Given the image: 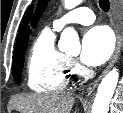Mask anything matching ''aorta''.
<instances>
[{"mask_svg": "<svg viewBox=\"0 0 123 113\" xmlns=\"http://www.w3.org/2000/svg\"><path fill=\"white\" fill-rule=\"evenodd\" d=\"M81 2L82 0H64V5L67 9H72ZM58 47L62 52H69L74 55L79 54L81 47L78 33L71 27L64 29L61 33ZM118 79L119 73L117 69H113L102 79L92 106V113H108Z\"/></svg>", "mask_w": 123, "mask_h": 113, "instance_id": "762f6f07", "label": "aorta"}]
</instances>
